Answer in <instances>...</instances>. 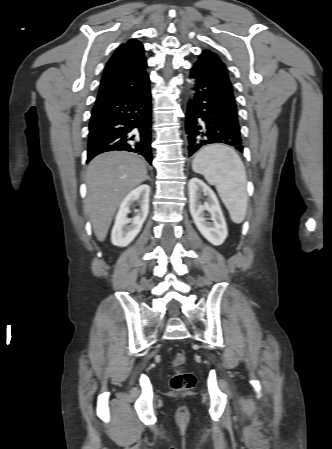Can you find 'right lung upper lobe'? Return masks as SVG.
Instances as JSON below:
<instances>
[{
	"label": "right lung upper lobe",
	"instance_id": "cb5924a9",
	"mask_svg": "<svg viewBox=\"0 0 332 449\" xmlns=\"http://www.w3.org/2000/svg\"><path fill=\"white\" fill-rule=\"evenodd\" d=\"M144 51L134 39L116 50L105 67L96 103L139 95L149 87Z\"/></svg>",
	"mask_w": 332,
	"mask_h": 449
}]
</instances>
